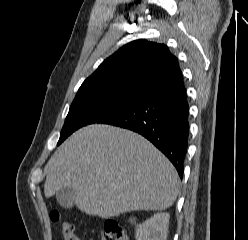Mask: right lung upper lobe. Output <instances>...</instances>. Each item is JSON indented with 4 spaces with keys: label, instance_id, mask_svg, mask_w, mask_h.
Here are the masks:
<instances>
[{
    "label": "right lung upper lobe",
    "instance_id": "right-lung-upper-lobe-1",
    "mask_svg": "<svg viewBox=\"0 0 248 240\" xmlns=\"http://www.w3.org/2000/svg\"><path fill=\"white\" fill-rule=\"evenodd\" d=\"M181 84L178 60L166 45L136 40L104 60L79 89L108 88L143 98Z\"/></svg>",
    "mask_w": 248,
    "mask_h": 240
}]
</instances>
